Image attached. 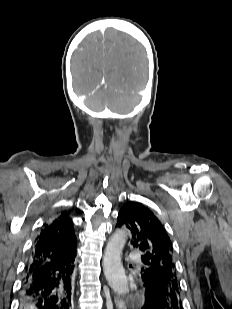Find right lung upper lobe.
Masks as SVG:
<instances>
[{
    "label": "right lung upper lobe",
    "instance_id": "right-lung-upper-lobe-1",
    "mask_svg": "<svg viewBox=\"0 0 232 309\" xmlns=\"http://www.w3.org/2000/svg\"><path fill=\"white\" fill-rule=\"evenodd\" d=\"M76 241L73 222L69 214L63 212L44 225L34 242L30 260L40 265L56 258H70L76 254Z\"/></svg>",
    "mask_w": 232,
    "mask_h": 309
}]
</instances>
